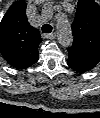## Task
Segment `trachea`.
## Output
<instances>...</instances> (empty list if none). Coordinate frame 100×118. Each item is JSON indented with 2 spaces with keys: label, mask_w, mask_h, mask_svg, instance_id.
Wrapping results in <instances>:
<instances>
[{
  "label": "trachea",
  "mask_w": 100,
  "mask_h": 118,
  "mask_svg": "<svg viewBox=\"0 0 100 118\" xmlns=\"http://www.w3.org/2000/svg\"><path fill=\"white\" fill-rule=\"evenodd\" d=\"M43 33H51L52 31V26L49 24H44L41 28Z\"/></svg>",
  "instance_id": "3493384b"
}]
</instances>
